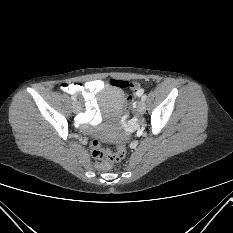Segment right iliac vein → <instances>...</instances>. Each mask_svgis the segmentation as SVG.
I'll list each match as a JSON object with an SVG mask.
<instances>
[{
	"label": "right iliac vein",
	"mask_w": 233,
	"mask_h": 233,
	"mask_svg": "<svg viewBox=\"0 0 233 233\" xmlns=\"http://www.w3.org/2000/svg\"><path fill=\"white\" fill-rule=\"evenodd\" d=\"M72 110H73L74 113L80 112V110H81V105H80V103H79V102H74V103L72 104Z\"/></svg>",
	"instance_id": "right-iliac-vein-1"
}]
</instances>
